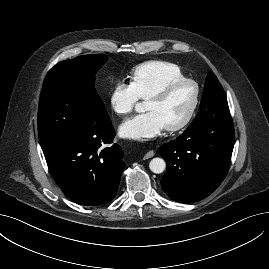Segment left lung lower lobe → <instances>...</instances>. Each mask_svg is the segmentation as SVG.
<instances>
[{"mask_svg": "<svg viewBox=\"0 0 269 269\" xmlns=\"http://www.w3.org/2000/svg\"><path fill=\"white\" fill-rule=\"evenodd\" d=\"M234 139L231 117L190 124L183 134L158 149L167 164L162 190L180 203L209 196L227 175Z\"/></svg>", "mask_w": 269, "mask_h": 269, "instance_id": "1", "label": "left lung lower lobe"}]
</instances>
